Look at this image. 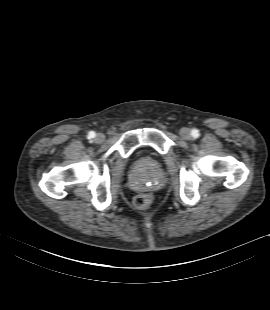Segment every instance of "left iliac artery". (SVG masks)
<instances>
[{
	"label": "left iliac artery",
	"instance_id": "obj_1",
	"mask_svg": "<svg viewBox=\"0 0 270 310\" xmlns=\"http://www.w3.org/2000/svg\"><path fill=\"white\" fill-rule=\"evenodd\" d=\"M192 136L195 138L199 137V131L197 129H193L192 130Z\"/></svg>",
	"mask_w": 270,
	"mask_h": 310
}]
</instances>
